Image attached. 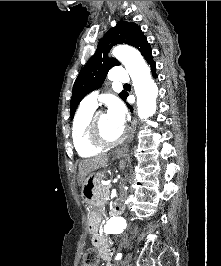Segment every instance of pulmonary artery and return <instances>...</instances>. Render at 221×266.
I'll use <instances>...</instances> for the list:
<instances>
[{
  "label": "pulmonary artery",
  "instance_id": "e3ab8cb5",
  "mask_svg": "<svg viewBox=\"0 0 221 266\" xmlns=\"http://www.w3.org/2000/svg\"><path fill=\"white\" fill-rule=\"evenodd\" d=\"M109 78L115 82L127 83L129 77L122 66H114ZM98 90L89 93L81 102V105L89 108H96L97 106Z\"/></svg>",
  "mask_w": 221,
  "mask_h": 266
}]
</instances>
